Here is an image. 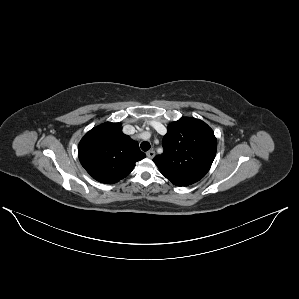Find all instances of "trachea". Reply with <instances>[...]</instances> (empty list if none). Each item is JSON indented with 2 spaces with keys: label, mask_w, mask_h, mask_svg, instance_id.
Here are the masks:
<instances>
[{
  "label": "trachea",
  "mask_w": 299,
  "mask_h": 299,
  "mask_svg": "<svg viewBox=\"0 0 299 299\" xmlns=\"http://www.w3.org/2000/svg\"><path fill=\"white\" fill-rule=\"evenodd\" d=\"M141 149L143 151H148L150 149V143L149 142H142L141 145H140Z\"/></svg>",
  "instance_id": "1"
}]
</instances>
